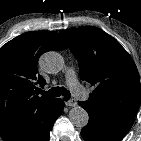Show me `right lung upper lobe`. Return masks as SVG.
I'll list each match as a JSON object with an SVG mask.
<instances>
[{"mask_svg":"<svg viewBox=\"0 0 141 141\" xmlns=\"http://www.w3.org/2000/svg\"><path fill=\"white\" fill-rule=\"evenodd\" d=\"M65 48L66 43L54 31L27 32L0 48V130L54 100L36 94V84L45 85L37 74V63L44 52Z\"/></svg>","mask_w":141,"mask_h":141,"instance_id":"1","label":"right lung upper lobe"}]
</instances>
